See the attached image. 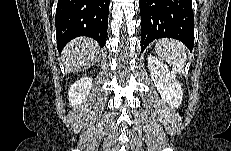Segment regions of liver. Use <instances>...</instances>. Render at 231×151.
<instances>
[{
    "label": "liver",
    "instance_id": "6515ba94",
    "mask_svg": "<svg viewBox=\"0 0 231 151\" xmlns=\"http://www.w3.org/2000/svg\"><path fill=\"white\" fill-rule=\"evenodd\" d=\"M98 44L95 40L80 37L69 43L64 50V64L67 72L80 71L90 62L96 61Z\"/></svg>",
    "mask_w": 231,
    "mask_h": 151
}]
</instances>
